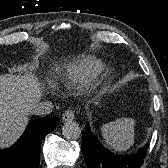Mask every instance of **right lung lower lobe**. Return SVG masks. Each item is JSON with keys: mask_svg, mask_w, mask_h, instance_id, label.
Segmentation results:
<instances>
[{"mask_svg": "<svg viewBox=\"0 0 168 168\" xmlns=\"http://www.w3.org/2000/svg\"><path fill=\"white\" fill-rule=\"evenodd\" d=\"M59 121L58 117L31 121L12 147L0 150V168H38L42 139L56 128Z\"/></svg>", "mask_w": 168, "mask_h": 168, "instance_id": "1", "label": "right lung lower lobe"}]
</instances>
